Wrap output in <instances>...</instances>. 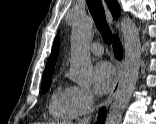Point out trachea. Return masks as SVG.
<instances>
[{"mask_svg":"<svg viewBox=\"0 0 156 124\" xmlns=\"http://www.w3.org/2000/svg\"><path fill=\"white\" fill-rule=\"evenodd\" d=\"M89 11L93 17L97 29L107 45L112 43V32L106 22L105 11L100 0H87Z\"/></svg>","mask_w":156,"mask_h":124,"instance_id":"obj_1","label":"trachea"}]
</instances>
